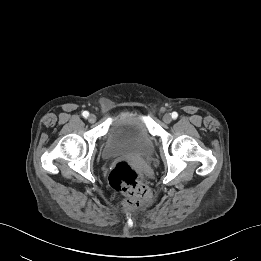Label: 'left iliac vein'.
Segmentation results:
<instances>
[{
    "label": "left iliac vein",
    "mask_w": 261,
    "mask_h": 261,
    "mask_svg": "<svg viewBox=\"0 0 261 261\" xmlns=\"http://www.w3.org/2000/svg\"><path fill=\"white\" fill-rule=\"evenodd\" d=\"M163 121L166 123V124H169L171 123L172 121V116L171 114L167 113L163 116Z\"/></svg>",
    "instance_id": "1"
}]
</instances>
